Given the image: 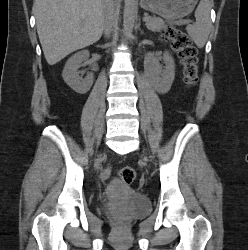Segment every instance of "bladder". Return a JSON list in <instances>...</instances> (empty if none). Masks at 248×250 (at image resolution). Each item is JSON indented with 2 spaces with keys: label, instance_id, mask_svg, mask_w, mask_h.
Listing matches in <instances>:
<instances>
[{
  "label": "bladder",
  "instance_id": "1",
  "mask_svg": "<svg viewBox=\"0 0 248 250\" xmlns=\"http://www.w3.org/2000/svg\"><path fill=\"white\" fill-rule=\"evenodd\" d=\"M104 210H109L108 205H103ZM150 210L149 199L137 192H131L124 199L122 205L119 207V214L124 217H141L146 215Z\"/></svg>",
  "mask_w": 248,
  "mask_h": 250
}]
</instances>
